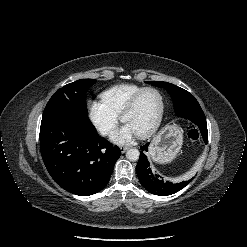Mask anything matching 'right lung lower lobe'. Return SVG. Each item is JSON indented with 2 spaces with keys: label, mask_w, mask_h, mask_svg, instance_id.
<instances>
[{
  "label": "right lung lower lobe",
  "mask_w": 247,
  "mask_h": 247,
  "mask_svg": "<svg viewBox=\"0 0 247 247\" xmlns=\"http://www.w3.org/2000/svg\"><path fill=\"white\" fill-rule=\"evenodd\" d=\"M40 150L54 181L80 196L101 191L121 156L118 148L98 136L88 114L64 106L45 108Z\"/></svg>",
  "instance_id": "right-lung-lower-lobe-1"
}]
</instances>
